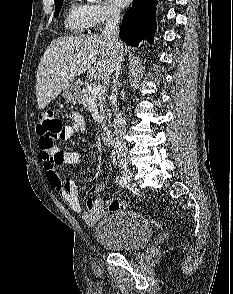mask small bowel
<instances>
[{
  "mask_svg": "<svg viewBox=\"0 0 233 294\" xmlns=\"http://www.w3.org/2000/svg\"><path fill=\"white\" fill-rule=\"evenodd\" d=\"M70 124H65L63 135L60 140L67 141L77 133H83L86 130V123L81 114L71 112L69 114ZM39 160L43 165L49 185L58 193V195L75 212L81 213L82 218L88 225H94L105 216L101 199L90 198L85 207L80 201L79 190L72 180L62 181L58 168L62 165L77 166L82 163V156L76 151H60L56 148L47 149L39 154ZM104 189L102 183H96L89 189L90 194H96ZM118 200V199H117ZM121 202V201H120Z\"/></svg>",
  "mask_w": 233,
  "mask_h": 294,
  "instance_id": "obj_1",
  "label": "small bowel"
}]
</instances>
